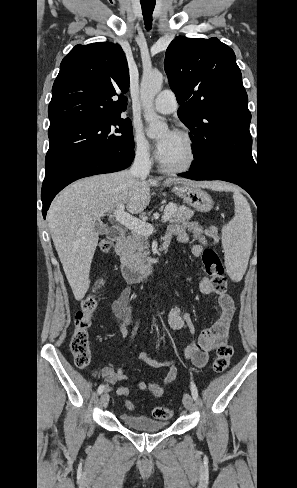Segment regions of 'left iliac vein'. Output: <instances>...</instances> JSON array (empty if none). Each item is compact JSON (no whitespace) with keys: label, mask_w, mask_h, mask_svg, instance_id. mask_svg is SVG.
I'll use <instances>...</instances> for the list:
<instances>
[{"label":"left iliac vein","mask_w":297,"mask_h":488,"mask_svg":"<svg viewBox=\"0 0 297 488\" xmlns=\"http://www.w3.org/2000/svg\"><path fill=\"white\" fill-rule=\"evenodd\" d=\"M183 404L185 408L189 411H191L194 407L193 399L190 394L186 393L183 396Z\"/></svg>","instance_id":"1"}]
</instances>
